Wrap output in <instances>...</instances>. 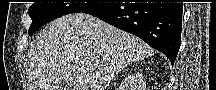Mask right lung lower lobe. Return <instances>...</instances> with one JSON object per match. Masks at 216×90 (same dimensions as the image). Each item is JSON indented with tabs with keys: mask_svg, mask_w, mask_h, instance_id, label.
Returning a JSON list of instances; mask_svg holds the SVG:
<instances>
[{
	"mask_svg": "<svg viewBox=\"0 0 216 90\" xmlns=\"http://www.w3.org/2000/svg\"><path fill=\"white\" fill-rule=\"evenodd\" d=\"M183 3H107L84 13L132 33L173 64L181 43Z\"/></svg>",
	"mask_w": 216,
	"mask_h": 90,
	"instance_id": "right-lung-lower-lobe-1",
	"label": "right lung lower lobe"
}]
</instances>
